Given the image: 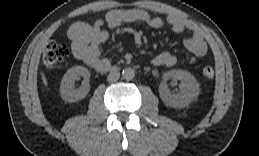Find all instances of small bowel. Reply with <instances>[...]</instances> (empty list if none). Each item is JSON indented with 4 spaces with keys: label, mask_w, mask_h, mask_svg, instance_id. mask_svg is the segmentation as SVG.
<instances>
[{
    "label": "small bowel",
    "mask_w": 259,
    "mask_h": 156,
    "mask_svg": "<svg viewBox=\"0 0 259 156\" xmlns=\"http://www.w3.org/2000/svg\"><path fill=\"white\" fill-rule=\"evenodd\" d=\"M141 22L152 29H168L174 33L189 32L184 39V45L191 53L190 63L207 53L208 46L202 33L188 20L170 15L165 19L154 17L143 9H113L106 13L103 19L92 24L78 22L68 30L72 50L76 58L98 71H106L110 62L101 57V45L108 39L109 31L103 30L107 24L109 29H115L122 24ZM151 62L155 66L170 67L178 62V58L169 51L154 56Z\"/></svg>",
    "instance_id": "1"
}]
</instances>
